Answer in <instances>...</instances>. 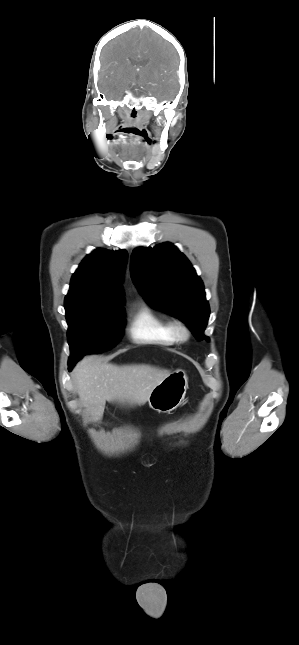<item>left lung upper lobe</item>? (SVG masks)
I'll return each instance as SVG.
<instances>
[{
	"mask_svg": "<svg viewBox=\"0 0 299 645\" xmlns=\"http://www.w3.org/2000/svg\"><path fill=\"white\" fill-rule=\"evenodd\" d=\"M132 278L145 300L170 313L204 336L210 309L204 285L188 259L171 243L136 248L131 256Z\"/></svg>",
	"mask_w": 299,
	"mask_h": 645,
	"instance_id": "left-lung-upper-lobe-1",
	"label": "left lung upper lobe"
}]
</instances>
